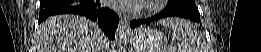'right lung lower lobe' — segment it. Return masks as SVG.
<instances>
[{
    "label": "right lung lower lobe",
    "instance_id": "right-lung-lower-lobe-1",
    "mask_svg": "<svg viewBox=\"0 0 261 52\" xmlns=\"http://www.w3.org/2000/svg\"><path fill=\"white\" fill-rule=\"evenodd\" d=\"M68 13L97 22L109 39L115 38L119 17L109 8L101 6L99 0H40L39 23L49 16Z\"/></svg>",
    "mask_w": 261,
    "mask_h": 52
}]
</instances>
